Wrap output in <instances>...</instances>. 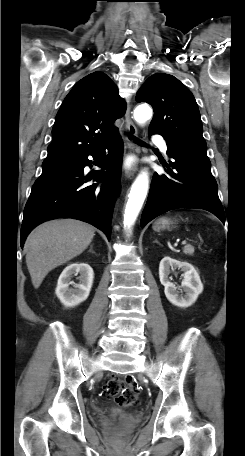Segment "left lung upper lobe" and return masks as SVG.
<instances>
[{
	"mask_svg": "<svg viewBox=\"0 0 245 456\" xmlns=\"http://www.w3.org/2000/svg\"><path fill=\"white\" fill-rule=\"evenodd\" d=\"M136 101L147 102L153 107L149 132L207 157L197 103L190 90L177 78L164 73L150 76L137 92Z\"/></svg>",
	"mask_w": 245,
	"mask_h": 456,
	"instance_id": "5c2ea615",
	"label": "left lung upper lobe"
}]
</instances>
